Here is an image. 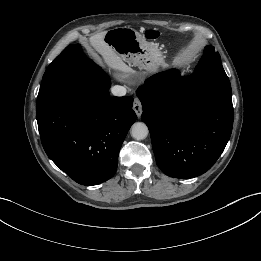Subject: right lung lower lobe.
<instances>
[{"label": "right lung lower lobe", "instance_id": "98d812e1", "mask_svg": "<svg viewBox=\"0 0 261 261\" xmlns=\"http://www.w3.org/2000/svg\"><path fill=\"white\" fill-rule=\"evenodd\" d=\"M103 71L76 78L36 106L48 157L74 181L96 185L117 170L121 145L137 116L133 98L109 97Z\"/></svg>", "mask_w": 261, "mask_h": 261}]
</instances>
